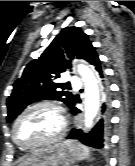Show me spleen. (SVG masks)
<instances>
[{
    "mask_svg": "<svg viewBox=\"0 0 135 166\" xmlns=\"http://www.w3.org/2000/svg\"><path fill=\"white\" fill-rule=\"evenodd\" d=\"M66 143L69 145V146H72V144H75L76 145V149H77V152H76V156H77V160H83V159H86L89 157V154H90V150L89 148L81 145L80 143L78 142H75V141H66Z\"/></svg>",
    "mask_w": 135,
    "mask_h": 166,
    "instance_id": "spleen-1",
    "label": "spleen"
}]
</instances>
